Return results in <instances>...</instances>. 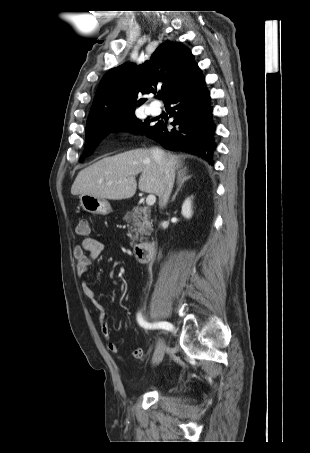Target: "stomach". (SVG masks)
<instances>
[{"mask_svg": "<svg viewBox=\"0 0 310 453\" xmlns=\"http://www.w3.org/2000/svg\"><path fill=\"white\" fill-rule=\"evenodd\" d=\"M79 198L81 207L91 214L107 215L111 212V206L106 199L88 194H82Z\"/></svg>", "mask_w": 310, "mask_h": 453, "instance_id": "obj_1", "label": "stomach"}]
</instances>
